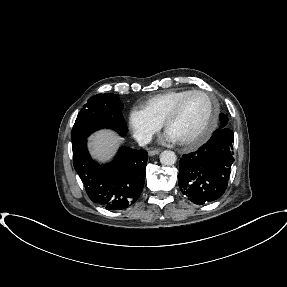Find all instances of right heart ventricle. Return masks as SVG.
<instances>
[{
    "mask_svg": "<svg viewBox=\"0 0 287 287\" xmlns=\"http://www.w3.org/2000/svg\"><path fill=\"white\" fill-rule=\"evenodd\" d=\"M190 89H173L154 95L139 104V109L155 122L162 124L164 117L175 103L188 94Z\"/></svg>",
    "mask_w": 287,
    "mask_h": 287,
    "instance_id": "right-heart-ventricle-1",
    "label": "right heart ventricle"
}]
</instances>
